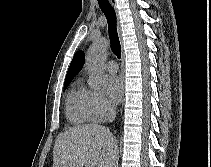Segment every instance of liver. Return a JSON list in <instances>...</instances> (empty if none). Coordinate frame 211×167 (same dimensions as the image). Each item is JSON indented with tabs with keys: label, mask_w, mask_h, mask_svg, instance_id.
Here are the masks:
<instances>
[{
	"label": "liver",
	"mask_w": 211,
	"mask_h": 167,
	"mask_svg": "<svg viewBox=\"0 0 211 167\" xmlns=\"http://www.w3.org/2000/svg\"><path fill=\"white\" fill-rule=\"evenodd\" d=\"M118 146L103 126L88 124L70 128L56 140L53 167H112Z\"/></svg>",
	"instance_id": "liver-1"
}]
</instances>
